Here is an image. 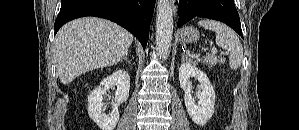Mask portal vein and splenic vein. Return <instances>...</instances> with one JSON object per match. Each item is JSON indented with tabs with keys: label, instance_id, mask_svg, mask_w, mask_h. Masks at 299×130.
<instances>
[{
	"label": "portal vein and splenic vein",
	"instance_id": "obj_1",
	"mask_svg": "<svg viewBox=\"0 0 299 130\" xmlns=\"http://www.w3.org/2000/svg\"><path fill=\"white\" fill-rule=\"evenodd\" d=\"M211 51H212L213 54L217 53V49L216 48H212Z\"/></svg>",
	"mask_w": 299,
	"mask_h": 130
}]
</instances>
